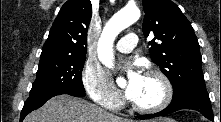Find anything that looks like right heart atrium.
Instances as JSON below:
<instances>
[{"label":"right heart atrium","mask_w":221,"mask_h":122,"mask_svg":"<svg viewBox=\"0 0 221 122\" xmlns=\"http://www.w3.org/2000/svg\"><path fill=\"white\" fill-rule=\"evenodd\" d=\"M82 83L88 96L98 105L110 109H118L123 99L108 82L103 70L92 63H86L82 71Z\"/></svg>","instance_id":"right-heart-atrium-1"}]
</instances>
